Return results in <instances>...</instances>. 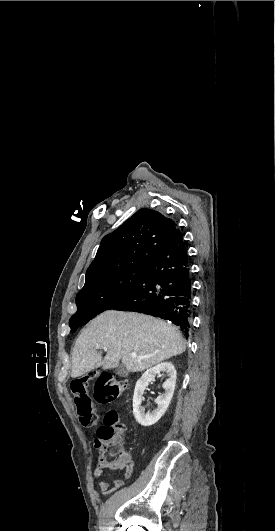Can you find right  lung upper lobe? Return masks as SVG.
Wrapping results in <instances>:
<instances>
[{
    "label": "right lung upper lobe",
    "mask_w": 275,
    "mask_h": 531,
    "mask_svg": "<svg viewBox=\"0 0 275 531\" xmlns=\"http://www.w3.org/2000/svg\"><path fill=\"white\" fill-rule=\"evenodd\" d=\"M176 229L174 221L161 213L140 209L113 233L103 237L87 269L85 283L118 269L147 265Z\"/></svg>",
    "instance_id": "cb5924a9"
}]
</instances>
